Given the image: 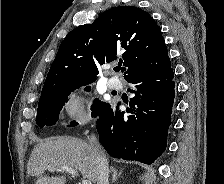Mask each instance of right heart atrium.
Returning <instances> with one entry per match:
<instances>
[{
  "label": "right heart atrium",
  "instance_id": "1",
  "mask_svg": "<svg viewBox=\"0 0 224 184\" xmlns=\"http://www.w3.org/2000/svg\"><path fill=\"white\" fill-rule=\"evenodd\" d=\"M66 113L68 117L80 124L88 123L91 115L81 96H73L66 103Z\"/></svg>",
  "mask_w": 224,
  "mask_h": 184
}]
</instances>
